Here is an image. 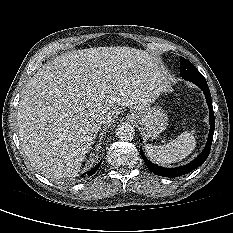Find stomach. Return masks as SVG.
<instances>
[{
	"mask_svg": "<svg viewBox=\"0 0 233 233\" xmlns=\"http://www.w3.org/2000/svg\"><path fill=\"white\" fill-rule=\"evenodd\" d=\"M136 121L141 126L145 138L149 140L156 139L168 125V117L159 106L137 112Z\"/></svg>",
	"mask_w": 233,
	"mask_h": 233,
	"instance_id": "obj_1",
	"label": "stomach"
}]
</instances>
